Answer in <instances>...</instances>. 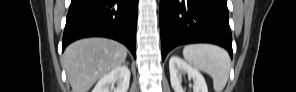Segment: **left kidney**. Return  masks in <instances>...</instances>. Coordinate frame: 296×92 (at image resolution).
I'll return each instance as SVG.
<instances>
[{"mask_svg": "<svg viewBox=\"0 0 296 92\" xmlns=\"http://www.w3.org/2000/svg\"><path fill=\"white\" fill-rule=\"evenodd\" d=\"M170 81L175 92H185L181 85V75L187 73L193 79V92H208L204 77L201 73L187 64L178 56H172L169 60Z\"/></svg>", "mask_w": 296, "mask_h": 92, "instance_id": "5707ae66", "label": "left kidney"}]
</instances>
